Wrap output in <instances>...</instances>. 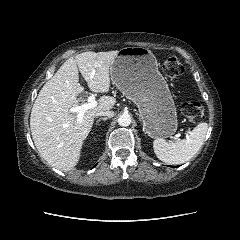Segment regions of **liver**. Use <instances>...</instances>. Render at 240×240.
Instances as JSON below:
<instances>
[{"label":"liver","mask_w":240,"mask_h":240,"mask_svg":"<svg viewBox=\"0 0 240 240\" xmlns=\"http://www.w3.org/2000/svg\"><path fill=\"white\" fill-rule=\"evenodd\" d=\"M118 52L87 51L71 57L40 90L31 111L30 128L37 150L49 165L62 171L72 170L80 159L95 114L113 108L116 99L104 95L95 107L85 111L81 122L77 121V113L69 112L84 91L79 71L91 91L106 93L110 88L111 64Z\"/></svg>","instance_id":"1"}]
</instances>
